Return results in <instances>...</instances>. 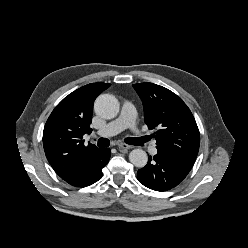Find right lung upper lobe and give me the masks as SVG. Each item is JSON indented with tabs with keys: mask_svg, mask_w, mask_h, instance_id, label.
<instances>
[{
	"mask_svg": "<svg viewBox=\"0 0 248 248\" xmlns=\"http://www.w3.org/2000/svg\"><path fill=\"white\" fill-rule=\"evenodd\" d=\"M108 83H91L66 96L52 111L43 131V146L54 171L65 179L75 173L94 151L84 145L83 135L91 133L93 104Z\"/></svg>",
	"mask_w": 248,
	"mask_h": 248,
	"instance_id": "obj_1",
	"label": "right lung upper lobe"
}]
</instances>
